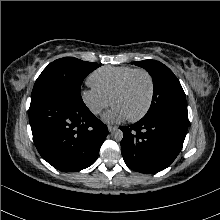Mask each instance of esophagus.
<instances>
[{"instance_id": "1", "label": "esophagus", "mask_w": 220, "mask_h": 220, "mask_svg": "<svg viewBox=\"0 0 220 220\" xmlns=\"http://www.w3.org/2000/svg\"><path fill=\"white\" fill-rule=\"evenodd\" d=\"M116 129H117L116 126L108 125V130H109V132H112V131H114V130H116Z\"/></svg>"}]
</instances>
